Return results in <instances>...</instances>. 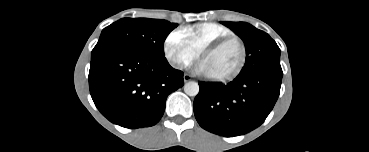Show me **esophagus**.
I'll use <instances>...</instances> for the list:
<instances>
[{
	"label": "esophagus",
	"mask_w": 369,
	"mask_h": 152,
	"mask_svg": "<svg viewBox=\"0 0 369 152\" xmlns=\"http://www.w3.org/2000/svg\"><path fill=\"white\" fill-rule=\"evenodd\" d=\"M183 79H184L185 82H188V81L191 80V76L188 75V74H184Z\"/></svg>",
	"instance_id": "1"
}]
</instances>
